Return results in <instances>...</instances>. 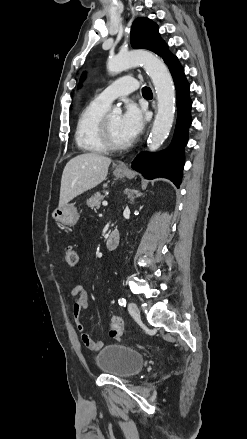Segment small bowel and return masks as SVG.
I'll return each mask as SVG.
<instances>
[{"label": "small bowel", "mask_w": 247, "mask_h": 439, "mask_svg": "<svg viewBox=\"0 0 247 439\" xmlns=\"http://www.w3.org/2000/svg\"><path fill=\"white\" fill-rule=\"evenodd\" d=\"M71 294L75 298L73 315L76 320V328L80 333L81 341L89 350L98 351L104 346V342L93 340L85 331L84 325L81 321V316L88 307V296L83 285L76 282L72 288Z\"/></svg>", "instance_id": "small-bowel-1"}]
</instances>
